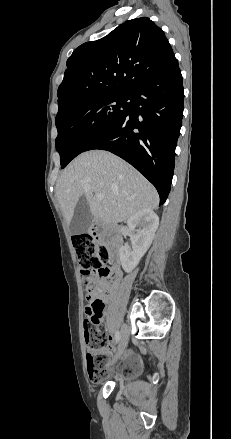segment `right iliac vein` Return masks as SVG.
Returning a JSON list of instances; mask_svg holds the SVG:
<instances>
[{
  "label": "right iliac vein",
  "mask_w": 231,
  "mask_h": 439,
  "mask_svg": "<svg viewBox=\"0 0 231 439\" xmlns=\"http://www.w3.org/2000/svg\"><path fill=\"white\" fill-rule=\"evenodd\" d=\"M128 340H129L128 328L126 325H123L122 331H121L120 341H119L118 348H117V352H116L113 360L111 361V364L116 362L121 357V355L124 353V351L127 347V344H128Z\"/></svg>",
  "instance_id": "obj_1"
}]
</instances>
